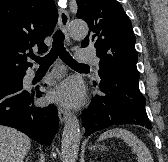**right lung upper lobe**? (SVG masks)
<instances>
[{"label":"right lung upper lobe","mask_w":168,"mask_h":162,"mask_svg":"<svg viewBox=\"0 0 168 162\" xmlns=\"http://www.w3.org/2000/svg\"><path fill=\"white\" fill-rule=\"evenodd\" d=\"M57 19L53 0H0V77L25 73L28 50L47 51Z\"/></svg>","instance_id":"1"}]
</instances>
